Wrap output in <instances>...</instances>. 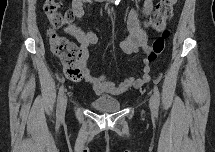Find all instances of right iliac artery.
<instances>
[{
  "instance_id": "obj_1",
  "label": "right iliac artery",
  "mask_w": 215,
  "mask_h": 152,
  "mask_svg": "<svg viewBox=\"0 0 215 152\" xmlns=\"http://www.w3.org/2000/svg\"><path fill=\"white\" fill-rule=\"evenodd\" d=\"M63 95H64V86L62 85L59 89L58 99H57L56 116L58 120L61 119V106H62Z\"/></svg>"
}]
</instances>
